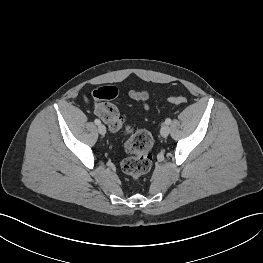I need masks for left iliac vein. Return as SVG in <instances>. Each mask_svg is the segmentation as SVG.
<instances>
[{"label": "left iliac vein", "mask_w": 263, "mask_h": 263, "mask_svg": "<svg viewBox=\"0 0 263 263\" xmlns=\"http://www.w3.org/2000/svg\"><path fill=\"white\" fill-rule=\"evenodd\" d=\"M160 133L163 137H167L170 133V127L168 124H163L160 129Z\"/></svg>", "instance_id": "obj_1"}]
</instances>
